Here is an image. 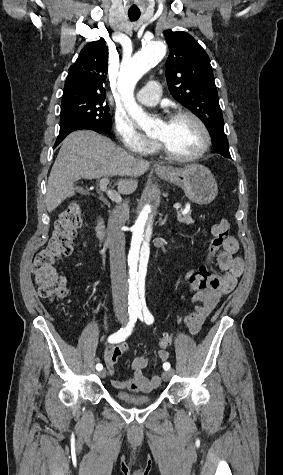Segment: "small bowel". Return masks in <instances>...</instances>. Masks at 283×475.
I'll return each mask as SVG.
<instances>
[{
  "instance_id": "obj_1",
  "label": "small bowel",
  "mask_w": 283,
  "mask_h": 475,
  "mask_svg": "<svg viewBox=\"0 0 283 475\" xmlns=\"http://www.w3.org/2000/svg\"><path fill=\"white\" fill-rule=\"evenodd\" d=\"M202 234H206L203 229ZM225 251L218 254L217 264L224 273L214 274V283L209 291H203L202 296H192L194 308L184 317V322L192 335H196L201 330L208 316L214 310L218 302L224 296L230 294L236 287L238 279L244 271V262L242 258L236 256L238 251L237 240L230 236L227 238ZM187 274L185 280H187ZM125 344L108 345L105 349L104 361L108 373L112 377V385L118 389H153L161 382L159 375L150 378L144 376L142 370L148 363L145 356L136 357L132 360L133 375L125 380H121L116 376V364L121 355L126 351ZM166 363V362H161Z\"/></svg>"
}]
</instances>
